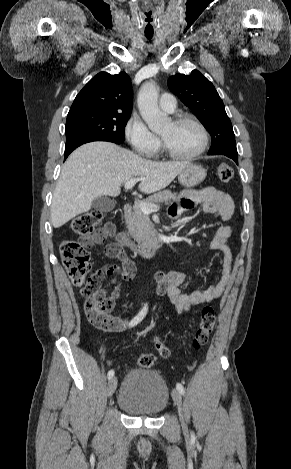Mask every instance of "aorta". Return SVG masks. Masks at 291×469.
Returning a JSON list of instances; mask_svg holds the SVG:
<instances>
[{
	"instance_id": "1",
	"label": "aorta",
	"mask_w": 291,
	"mask_h": 469,
	"mask_svg": "<svg viewBox=\"0 0 291 469\" xmlns=\"http://www.w3.org/2000/svg\"><path fill=\"white\" fill-rule=\"evenodd\" d=\"M139 112L152 131H160L170 122V118L158 107V89L153 82L144 83L138 93Z\"/></svg>"
}]
</instances>
